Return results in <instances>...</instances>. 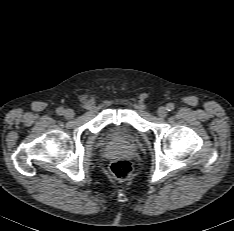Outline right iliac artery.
<instances>
[{"mask_svg":"<svg viewBox=\"0 0 234 231\" xmlns=\"http://www.w3.org/2000/svg\"><path fill=\"white\" fill-rule=\"evenodd\" d=\"M57 113H58L59 115H62V114L64 113V109H63V108H58V109H57Z\"/></svg>","mask_w":234,"mask_h":231,"instance_id":"1","label":"right iliac artery"}]
</instances>
